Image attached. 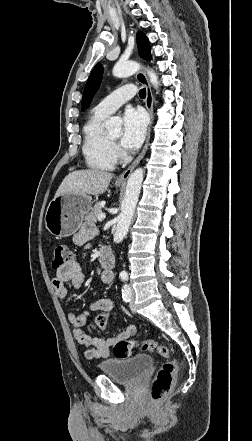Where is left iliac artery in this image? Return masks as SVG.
Listing matches in <instances>:
<instances>
[{"instance_id":"44dca946","label":"left iliac artery","mask_w":252,"mask_h":441,"mask_svg":"<svg viewBox=\"0 0 252 441\" xmlns=\"http://www.w3.org/2000/svg\"><path fill=\"white\" fill-rule=\"evenodd\" d=\"M120 277L123 281L128 280V274L126 272H121Z\"/></svg>"}]
</instances>
